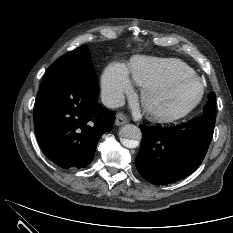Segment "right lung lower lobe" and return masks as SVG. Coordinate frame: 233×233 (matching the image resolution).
Returning a JSON list of instances; mask_svg holds the SVG:
<instances>
[{
  "label": "right lung lower lobe",
  "mask_w": 233,
  "mask_h": 233,
  "mask_svg": "<svg viewBox=\"0 0 233 233\" xmlns=\"http://www.w3.org/2000/svg\"><path fill=\"white\" fill-rule=\"evenodd\" d=\"M95 71L47 72L34 105V127L44 153L62 168H82L111 130L115 113L97 103Z\"/></svg>",
  "instance_id": "right-lung-lower-lobe-1"
}]
</instances>
